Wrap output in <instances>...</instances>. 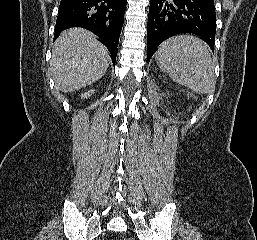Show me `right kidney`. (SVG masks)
Segmentation results:
<instances>
[{"label": "right kidney", "mask_w": 257, "mask_h": 240, "mask_svg": "<svg viewBox=\"0 0 257 240\" xmlns=\"http://www.w3.org/2000/svg\"><path fill=\"white\" fill-rule=\"evenodd\" d=\"M94 93V90H90L84 94H81V99H85V98H88L89 96H91L92 94Z\"/></svg>", "instance_id": "ca27d5eb"}]
</instances>
